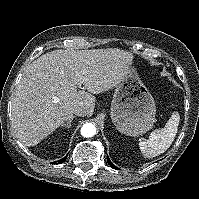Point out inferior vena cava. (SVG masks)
<instances>
[{"mask_svg":"<svg viewBox=\"0 0 199 199\" xmlns=\"http://www.w3.org/2000/svg\"><path fill=\"white\" fill-rule=\"evenodd\" d=\"M73 113L76 115V116H86V110L83 106H76L74 109H73Z\"/></svg>","mask_w":199,"mask_h":199,"instance_id":"obj_1","label":"inferior vena cava"}]
</instances>
